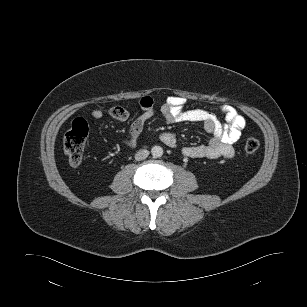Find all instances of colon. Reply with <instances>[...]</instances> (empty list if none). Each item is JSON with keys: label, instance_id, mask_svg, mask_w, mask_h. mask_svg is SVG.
Segmentation results:
<instances>
[{"label": "colon", "instance_id": "obj_1", "mask_svg": "<svg viewBox=\"0 0 307 307\" xmlns=\"http://www.w3.org/2000/svg\"><path fill=\"white\" fill-rule=\"evenodd\" d=\"M87 136V122L82 118L75 119L63 139L64 151L72 165L82 162ZM259 146L260 143L256 138H248L244 149L248 154H253L259 149Z\"/></svg>", "mask_w": 307, "mask_h": 307}]
</instances>
